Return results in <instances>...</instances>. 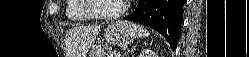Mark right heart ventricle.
Listing matches in <instances>:
<instances>
[{
  "instance_id": "1",
  "label": "right heart ventricle",
  "mask_w": 249,
  "mask_h": 57,
  "mask_svg": "<svg viewBox=\"0 0 249 57\" xmlns=\"http://www.w3.org/2000/svg\"><path fill=\"white\" fill-rule=\"evenodd\" d=\"M83 0H68L66 17L71 21H87L92 17L82 9Z\"/></svg>"
}]
</instances>
